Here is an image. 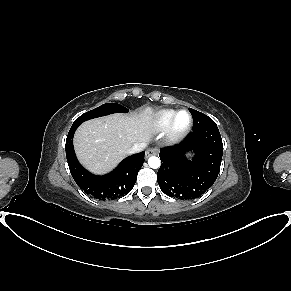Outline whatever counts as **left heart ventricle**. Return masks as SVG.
Returning <instances> with one entry per match:
<instances>
[{
    "mask_svg": "<svg viewBox=\"0 0 291 291\" xmlns=\"http://www.w3.org/2000/svg\"><path fill=\"white\" fill-rule=\"evenodd\" d=\"M188 122V116L185 113H181L176 118V124L179 128L184 127Z\"/></svg>",
    "mask_w": 291,
    "mask_h": 291,
    "instance_id": "1",
    "label": "left heart ventricle"
}]
</instances>
